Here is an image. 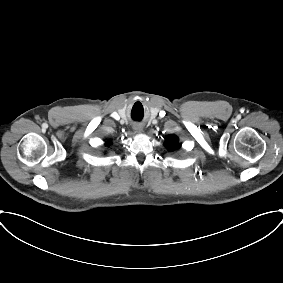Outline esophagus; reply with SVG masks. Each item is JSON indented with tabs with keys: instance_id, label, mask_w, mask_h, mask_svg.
<instances>
[{
	"instance_id": "34e87169",
	"label": "esophagus",
	"mask_w": 283,
	"mask_h": 283,
	"mask_svg": "<svg viewBox=\"0 0 283 283\" xmlns=\"http://www.w3.org/2000/svg\"><path fill=\"white\" fill-rule=\"evenodd\" d=\"M136 130H137L138 132H140V131H141V129H140V128H137Z\"/></svg>"
}]
</instances>
